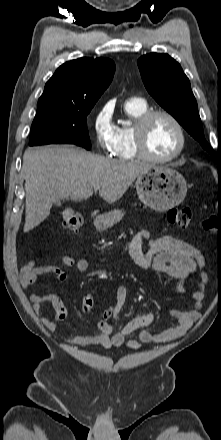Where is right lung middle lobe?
Instances as JSON below:
<instances>
[{
    "instance_id": "right-lung-middle-lobe-1",
    "label": "right lung middle lobe",
    "mask_w": 221,
    "mask_h": 440,
    "mask_svg": "<svg viewBox=\"0 0 221 440\" xmlns=\"http://www.w3.org/2000/svg\"><path fill=\"white\" fill-rule=\"evenodd\" d=\"M92 108L93 105L75 106L52 100L38 103L29 145L68 143L90 149L86 118Z\"/></svg>"
}]
</instances>
